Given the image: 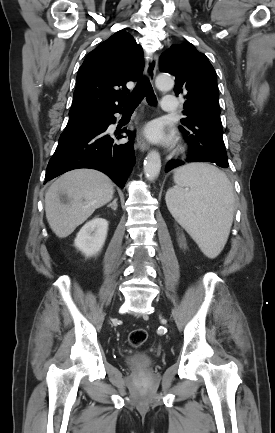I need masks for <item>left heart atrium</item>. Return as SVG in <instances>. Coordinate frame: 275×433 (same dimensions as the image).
I'll return each instance as SVG.
<instances>
[{
	"mask_svg": "<svg viewBox=\"0 0 275 433\" xmlns=\"http://www.w3.org/2000/svg\"><path fill=\"white\" fill-rule=\"evenodd\" d=\"M145 136L154 142H165L170 139L166 136L161 125L157 122L149 123L144 130Z\"/></svg>",
	"mask_w": 275,
	"mask_h": 433,
	"instance_id": "39dd6f15",
	"label": "left heart atrium"
}]
</instances>
